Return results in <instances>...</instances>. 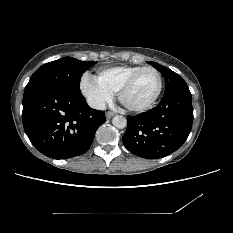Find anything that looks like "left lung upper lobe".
<instances>
[{"mask_svg":"<svg viewBox=\"0 0 233 233\" xmlns=\"http://www.w3.org/2000/svg\"><path fill=\"white\" fill-rule=\"evenodd\" d=\"M153 67H155L161 74L164 76L165 80V93L169 92L170 90L181 86L187 85L186 82L179 76L177 73L173 72L172 70L156 63V62H149ZM164 93V94H165Z\"/></svg>","mask_w":233,"mask_h":233,"instance_id":"left-lung-upper-lobe-1","label":"left lung upper lobe"}]
</instances>
